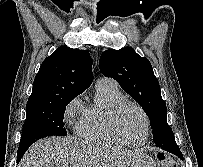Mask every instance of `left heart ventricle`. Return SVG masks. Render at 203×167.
I'll return each mask as SVG.
<instances>
[{"mask_svg":"<svg viewBox=\"0 0 203 167\" xmlns=\"http://www.w3.org/2000/svg\"><path fill=\"white\" fill-rule=\"evenodd\" d=\"M117 127L128 141L136 142L143 138L145 123L142 114L134 107H126L120 114Z\"/></svg>","mask_w":203,"mask_h":167,"instance_id":"1","label":"left heart ventricle"}]
</instances>
